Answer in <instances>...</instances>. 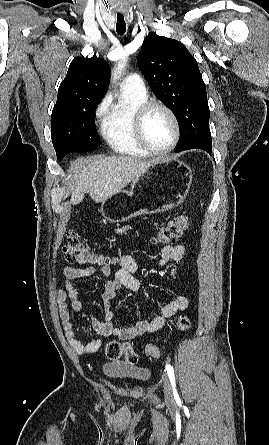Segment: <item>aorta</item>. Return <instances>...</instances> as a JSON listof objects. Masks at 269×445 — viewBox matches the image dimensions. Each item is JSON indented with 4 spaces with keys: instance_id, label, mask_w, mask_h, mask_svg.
<instances>
[{
    "instance_id": "762f6f07",
    "label": "aorta",
    "mask_w": 269,
    "mask_h": 445,
    "mask_svg": "<svg viewBox=\"0 0 269 445\" xmlns=\"http://www.w3.org/2000/svg\"><path fill=\"white\" fill-rule=\"evenodd\" d=\"M125 63H126V60L124 59V60H122V61L118 64V66H117V68H116V71H115V75H117L118 73H120V72L124 69V67H125Z\"/></svg>"
}]
</instances>
